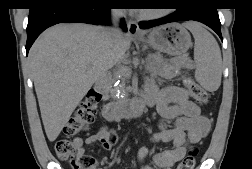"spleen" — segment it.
<instances>
[{
	"label": "spleen",
	"mask_w": 252,
	"mask_h": 169,
	"mask_svg": "<svg viewBox=\"0 0 252 169\" xmlns=\"http://www.w3.org/2000/svg\"><path fill=\"white\" fill-rule=\"evenodd\" d=\"M192 33L194 44L195 79L207 91H216L221 85L222 57L219 45L199 23L185 25Z\"/></svg>",
	"instance_id": "spleen-1"
}]
</instances>
